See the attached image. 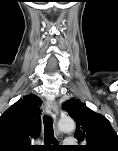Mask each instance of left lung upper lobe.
<instances>
[{
	"label": "left lung upper lobe",
	"mask_w": 118,
	"mask_h": 151,
	"mask_svg": "<svg viewBox=\"0 0 118 151\" xmlns=\"http://www.w3.org/2000/svg\"><path fill=\"white\" fill-rule=\"evenodd\" d=\"M63 108L77 123L75 137L84 144L78 146L80 151H118V135L103 115L75 98L64 102Z\"/></svg>",
	"instance_id": "1"
}]
</instances>
